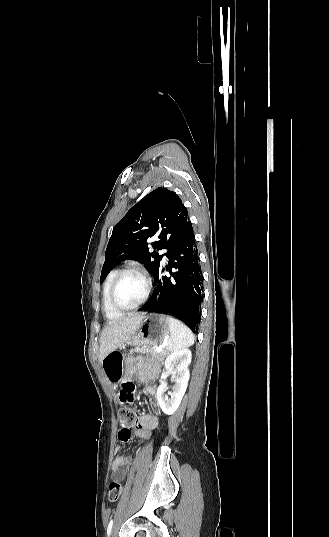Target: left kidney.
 I'll list each match as a JSON object with an SVG mask.
<instances>
[{"mask_svg": "<svg viewBox=\"0 0 329 537\" xmlns=\"http://www.w3.org/2000/svg\"><path fill=\"white\" fill-rule=\"evenodd\" d=\"M191 363V351L189 349H182L171 353L165 360L164 370L161 374L162 384L157 389V400L162 411L166 415H172L179 408L181 400L187 389L189 380L188 366ZM174 365L176 369L173 371L172 392H170L171 398L168 399L164 396L167 390L166 379L170 371L173 370Z\"/></svg>", "mask_w": 329, "mask_h": 537, "instance_id": "obj_1", "label": "left kidney"}]
</instances>
